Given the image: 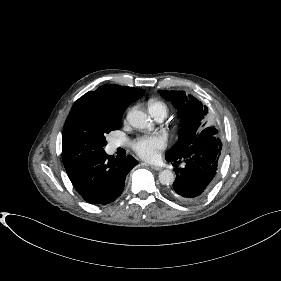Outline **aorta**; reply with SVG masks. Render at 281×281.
<instances>
[{
    "label": "aorta",
    "instance_id": "1",
    "mask_svg": "<svg viewBox=\"0 0 281 281\" xmlns=\"http://www.w3.org/2000/svg\"><path fill=\"white\" fill-rule=\"evenodd\" d=\"M127 120L132 127L137 129H146L151 125V119L141 110L130 111L127 114ZM158 177L163 185H171L175 180V175L171 170L161 171Z\"/></svg>",
    "mask_w": 281,
    "mask_h": 281
}]
</instances>
